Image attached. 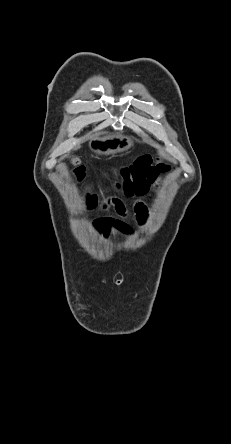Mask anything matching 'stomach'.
Returning <instances> with one entry per match:
<instances>
[{
    "label": "stomach",
    "instance_id": "0dacf381",
    "mask_svg": "<svg viewBox=\"0 0 231 444\" xmlns=\"http://www.w3.org/2000/svg\"><path fill=\"white\" fill-rule=\"evenodd\" d=\"M132 145V141L124 136H104L91 142V149L98 154H114L116 152L128 149Z\"/></svg>",
    "mask_w": 231,
    "mask_h": 444
}]
</instances>
